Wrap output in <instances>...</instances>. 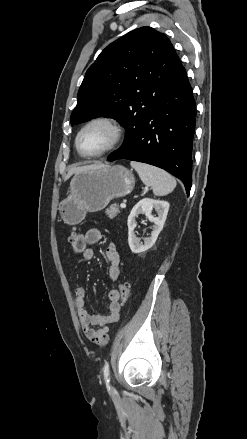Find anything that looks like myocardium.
Wrapping results in <instances>:
<instances>
[{
	"mask_svg": "<svg viewBox=\"0 0 247 439\" xmlns=\"http://www.w3.org/2000/svg\"><path fill=\"white\" fill-rule=\"evenodd\" d=\"M95 124L106 125L112 132V139H111V142L109 143V145L107 147H105L104 149H102L96 153L86 154L81 150L79 141H80V138H81L82 134L84 133V131ZM123 137H124L123 126L116 118H114L112 116H107V115H100V116H96V117L91 118L80 128V130L77 133L76 139H75V146H76L78 153L81 156L86 157V158H96V157L103 156V155L107 154L108 152L114 150L121 143Z\"/></svg>",
	"mask_w": 247,
	"mask_h": 439,
	"instance_id": "obj_1",
	"label": "myocardium"
}]
</instances>
